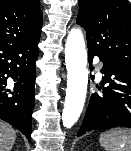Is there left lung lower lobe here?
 I'll return each instance as SVG.
<instances>
[{"label":"left lung lower lobe","mask_w":131,"mask_h":151,"mask_svg":"<svg viewBox=\"0 0 131 151\" xmlns=\"http://www.w3.org/2000/svg\"><path fill=\"white\" fill-rule=\"evenodd\" d=\"M94 56H98L103 63L101 73L104 77L97 86L101 92L91 94L77 136L93 130L131 128V69L88 49L90 65Z\"/></svg>","instance_id":"left-lung-lower-lobe-1"}]
</instances>
